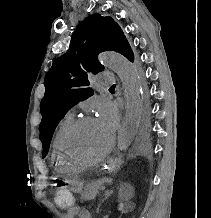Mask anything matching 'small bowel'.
Listing matches in <instances>:
<instances>
[{
	"instance_id": "c3829d8e",
	"label": "small bowel",
	"mask_w": 211,
	"mask_h": 218,
	"mask_svg": "<svg viewBox=\"0 0 211 218\" xmlns=\"http://www.w3.org/2000/svg\"><path fill=\"white\" fill-rule=\"evenodd\" d=\"M83 210L84 209H81L79 207H73L69 210V212L71 214H77L79 216V218H83ZM89 217H90V213H89ZM91 218V217H90Z\"/></svg>"
}]
</instances>
